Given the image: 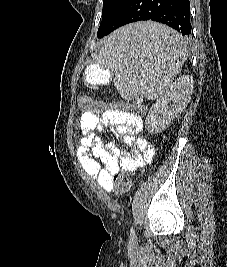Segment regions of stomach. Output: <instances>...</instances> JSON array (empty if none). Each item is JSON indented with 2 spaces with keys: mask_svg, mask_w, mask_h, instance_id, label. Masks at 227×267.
I'll use <instances>...</instances> for the list:
<instances>
[{
  "mask_svg": "<svg viewBox=\"0 0 227 267\" xmlns=\"http://www.w3.org/2000/svg\"><path fill=\"white\" fill-rule=\"evenodd\" d=\"M109 68L103 69L99 64H91L85 69V79L91 84H101L109 82L111 77Z\"/></svg>",
  "mask_w": 227,
  "mask_h": 267,
  "instance_id": "1",
  "label": "stomach"
}]
</instances>
